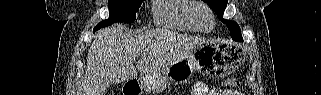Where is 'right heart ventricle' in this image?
Segmentation results:
<instances>
[{"label": "right heart ventricle", "instance_id": "e07e8e85", "mask_svg": "<svg viewBox=\"0 0 321 95\" xmlns=\"http://www.w3.org/2000/svg\"><path fill=\"white\" fill-rule=\"evenodd\" d=\"M197 3L192 0H155L153 22L160 28L199 32L193 20V10Z\"/></svg>", "mask_w": 321, "mask_h": 95}]
</instances>
